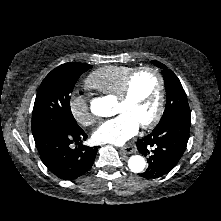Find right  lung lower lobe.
<instances>
[{
	"label": "right lung lower lobe",
	"instance_id": "1",
	"mask_svg": "<svg viewBox=\"0 0 221 221\" xmlns=\"http://www.w3.org/2000/svg\"><path fill=\"white\" fill-rule=\"evenodd\" d=\"M40 158L58 178L73 180L87 172L93 165L98 147L80 144L72 149L70 144L86 140L87 134L80 128L55 127L33 134Z\"/></svg>",
	"mask_w": 221,
	"mask_h": 221
}]
</instances>
